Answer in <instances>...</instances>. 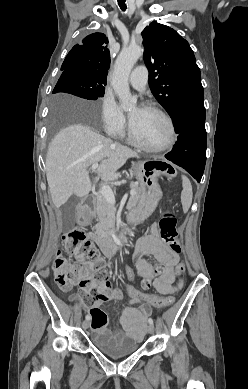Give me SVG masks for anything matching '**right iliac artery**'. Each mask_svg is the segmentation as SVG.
Here are the masks:
<instances>
[{
	"label": "right iliac artery",
	"mask_w": 248,
	"mask_h": 389,
	"mask_svg": "<svg viewBox=\"0 0 248 389\" xmlns=\"http://www.w3.org/2000/svg\"><path fill=\"white\" fill-rule=\"evenodd\" d=\"M86 320H90V316L89 315H86Z\"/></svg>",
	"instance_id": "82829eb1"
}]
</instances>
